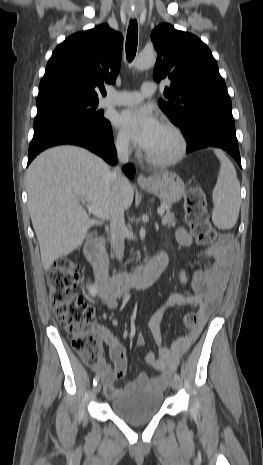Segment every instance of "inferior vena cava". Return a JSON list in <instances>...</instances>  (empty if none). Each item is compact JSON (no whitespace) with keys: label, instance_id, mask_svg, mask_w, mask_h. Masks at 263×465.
<instances>
[{"label":"inferior vena cava","instance_id":"1","mask_svg":"<svg viewBox=\"0 0 263 465\" xmlns=\"http://www.w3.org/2000/svg\"><path fill=\"white\" fill-rule=\"evenodd\" d=\"M117 156L119 165H117L111 173L113 185L116 189L117 201L110 217V234L111 245L114 249L115 255L117 259L121 261L124 256V241L127 228L124 219V206L120 202V192L123 187L129 184L127 177L121 170V165L128 162L129 150L127 142L118 143Z\"/></svg>","mask_w":263,"mask_h":465}]
</instances>
